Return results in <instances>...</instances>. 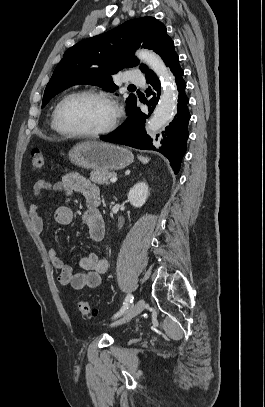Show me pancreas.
I'll return each instance as SVG.
<instances>
[{"label": "pancreas", "mask_w": 265, "mask_h": 407, "mask_svg": "<svg viewBox=\"0 0 265 407\" xmlns=\"http://www.w3.org/2000/svg\"><path fill=\"white\" fill-rule=\"evenodd\" d=\"M113 176L114 172L95 170L90 173V180L100 185H108L109 179Z\"/></svg>", "instance_id": "cf45deb5"}]
</instances>
